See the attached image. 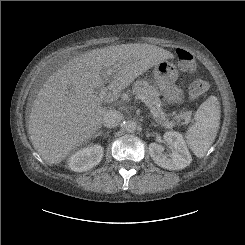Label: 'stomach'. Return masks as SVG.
<instances>
[{"mask_svg":"<svg viewBox=\"0 0 245 245\" xmlns=\"http://www.w3.org/2000/svg\"><path fill=\"white\" fill-rule=\"evenodd\" d=\"M153 75L160 94L167 103L178 104L183 101V90L175 84L178 79V70L174 64L167 60L161 61L154 66Z\"/></svg>","mask_w":245,"mask_h":245,"instance_id":"obj_1","label":"stomach"}]
</instances>
